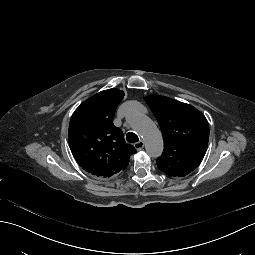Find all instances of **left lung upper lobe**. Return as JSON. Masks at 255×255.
Returning <instances> with one entry per match:
<instances>
[{
  "instance_id": "5c2ea615",
  "label": "left lung upper lobe",
  "mask_w": 255,
  "mask_h": 255,
  "mask_svg": "<svg viewBox=\"0 0 255 255\" xmlns=\"http://www.w3.org/2000/svg\"><path fill=\"white\" fill-rule=\"evenodd\" d=\"M155 115L164 138V152L156 161L169 176L183 177L194 171L204 158L209 124L193 106L163 96L144 98Z\"/></svg>"
}]
</instances>
